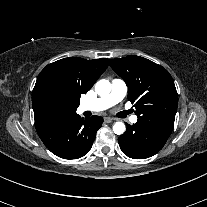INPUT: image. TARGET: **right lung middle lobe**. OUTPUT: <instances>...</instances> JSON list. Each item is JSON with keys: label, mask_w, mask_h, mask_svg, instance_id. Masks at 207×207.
<instances>
[{"label": "right lung middle lobe", "mask_w": 207, "mask_h": 207, "mask_svg": "<svg viewBox=\"0 0 207 207\" xmlns=\"http://www.w3.org/2000/svg\"><path fill=\"white\" fill-rule=\"evenodd\" d=\"M46 103L48 107L55 113V115H64L75 112L77 108H70L66 106L63 100L54 94H50L46 97Z\"/></svg>", "instance_id": "1"}]
</instances>
